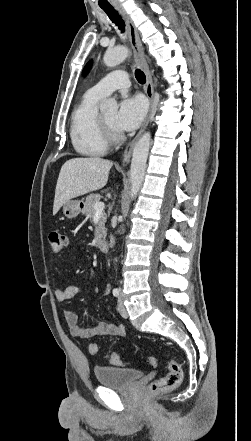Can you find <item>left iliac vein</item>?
I'll return each instance as SVG.
<instances>
[{
  "mask_svg": "<svg viewBox=\"0 0 251 441\" xmlns=\"http://www.w3.org/2000/svg\"><path fill=\"white\" fill-rule=\"evenodd\" d=\"M119 311H120V314L123 318L128 317V312L126 310V307L123 304L122 296H120V298H119Z\"/></svg>",
  "mask_w": 251,
  "mask_h": 441,
  "instance_id": "obj_1",
  "label": "left iliac vein"
}]
</instances>
